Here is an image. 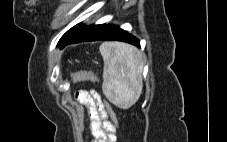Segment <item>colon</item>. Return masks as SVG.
Returning a JSON list of instances; mask_svg holds the SVG:
<instances>
[{
    "label": "colon",
    "instance_id": "colon-1",
    "mask_svg": "<svg viewBox=\"0 0 227 142\" xmlns=\"http://www.w3.org/2000/svg\"><path fill=\"white\" fill-rule=\"evenodd\" d=\"M72 80L73 81H79V80H94V81H98V78L91 72L88 71H80V72H76L72 75ZM107 112L109 114V117L112 119L113 121V126H114V130H115V126L117 125V119H116V115L112 109V107L108 104L105 103ZM116 132V130H115Z\"/></svg>",
    "mask_w": 227,
    "mask_h": 142
}]
</instances>
